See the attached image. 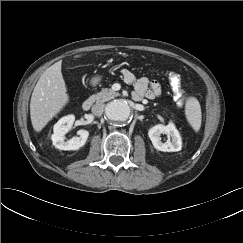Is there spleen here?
Here are the masks:
<instances>
[{"label":"spleen","mask_w":243,"mask_h":243,"mask_svg":"<svg viewBox=\"0 0 243 243\" xmlns=\"http://www.w3.org/2000/svg\"><path fill=\"white\" fill-rule=\"evenodd\" d=\"M185 116L191 127L198 132L201 127L202 113L200 103L195 97L186 99Z\"/></svg>","instance_id":"spleen-1"}]
</instances>
